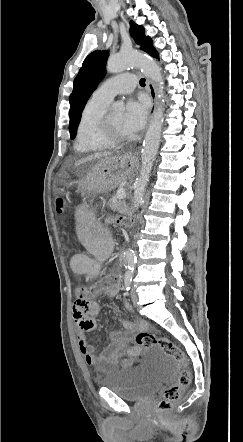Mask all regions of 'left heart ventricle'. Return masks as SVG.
Here are the masks:
<instances>
[{"label":"left heart ventricle","mask_w":243,"mask_h":442,"mask_svg":"<svg viewBox=\"0 0 243 442\" xmlns=\"http://www.w3.org/2000/svg\"><path fill=\"white\" fill-rule=\"evenodd\" d=\"M123 116L124 114L122 112H116L109 115L113 132L118 136H128V132L123 125Z\"/></svg>","instance_id":"obj_1"}]
</instances>
